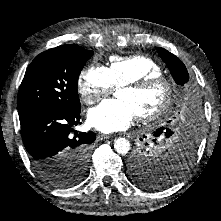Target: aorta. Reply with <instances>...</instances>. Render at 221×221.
Masks as SVG:
<instances>
[{"label": "aorta", "mask_w": 221, "mask_h": 221, "mask_svg": "<svg viewBox=\"0 0 221 221\" xmlns=\"http://www.w3.org/2000/svg\"><path fill=\"white\" fill-rule=\"evenodd\" d=\"M114 149L118 154L125 155L130 151L131 145L127 139L118 138L114 142Z\"/></svg>", "instance_id": "obj_1"}]
</instances>
